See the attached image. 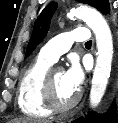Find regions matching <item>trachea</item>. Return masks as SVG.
Masks as SVG:
<instances>
[{
	"mask_svg": "<svg viewBox=\"0 0 118 123\" xmlns=\"http://www.w3.org/2000/svg\"><path fill=\"white\" fill-rule=\"evenodd\" d=\"M86 45H91L92 44V40H89L85 43Z\"/></svg>",
	"mask_w": 118,
	"mask_h": 123,
	"instance_id": "obj_1",
	"label": "trachea"
}]
</instances>
